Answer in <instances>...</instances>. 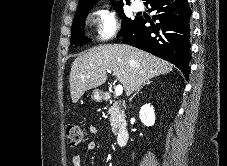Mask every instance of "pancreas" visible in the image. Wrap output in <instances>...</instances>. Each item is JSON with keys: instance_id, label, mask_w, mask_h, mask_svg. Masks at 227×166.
I'll return each mask as SVG.
<instances>
[{"instance_id": "1", "label": "pancreas", "mask_w": 227, "mask_h": 166, "mask_svg": "<svg viewBox=\"0 0 227 166\" xmlns=\"http://www.w3.org/2000/svg\"><path fill=\"white\" fill-rule=\"evenodd\" d=\"M110 123L114 134L117 133L118 129L126 124L124 110L121 108L119 103H113L109 109Z\"/></svg>"}]
</instances>
